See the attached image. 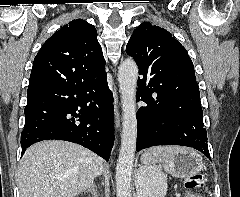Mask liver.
Listing matches in <instances>:
<instances>
[{"label": "liver", "mask_w": 240, "mask_h": 197, "mask_svg": "<svg viewBox=\"0 0 240 197\" xmlns=\"http://www.w3.org/2000/svg\"><path fill=\"white\" fill-rule=\"evenodd\" d=\"M103 160L78 144L47 140L24 153L17 171L20 197H75L92 186Z\"/></svg>", "instance_id": "6515ba94"}]
</instances>
